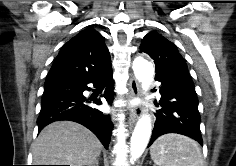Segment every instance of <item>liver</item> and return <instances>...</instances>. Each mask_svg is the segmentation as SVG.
Listing matches in <instances>:
<instances>
[{
	"instance_id": "6515ba94",
	"label": "liver",
	"mask_w": 236,
	"mask_h": 166,
	"mask_svg": "<svg viewBox=\"0 0 236 166\" xmlns=\"http://www.w3.org/2000/svg\"><path fill=\"white\" fill-rule=\"evenodd\" d=\"M102 144L87 128L72 121L46 126L33 144L34 165L91 166Z\"/></svg>"
}]
</instances>
